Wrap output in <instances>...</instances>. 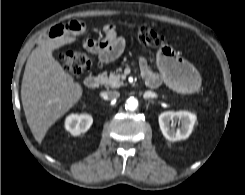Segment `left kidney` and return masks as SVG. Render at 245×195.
Here are the masks:
<instances>
[{"instance_id": "1", "label": "left kidney", "mask_w": 245, "mask_h": 195, "mask_svg": "<svg viewBox=\"0 0 245 195\" xmlns=\"http://www.w3.org/2000/svg\"><path fill=\"white\" fill-rule=\"evenodd\" d=\"M177 122L180 127L175 129ZM195 122V114L187 111H167L159 116V126L164 137L173 142L188 138Z\"/></svg>"}]
</instances>
